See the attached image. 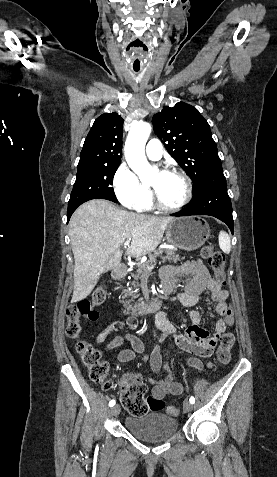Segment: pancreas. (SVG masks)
Returning a JSON list of instances; mask_svg holds the SVG:
<instances>
[{
  "label": "pancreas",
  "mask_w": 277,
  "mask_h": 477,
  "mask_svg": "<svg viewBox=\"0 0 277 477\" xmlns=\"http://www.w3.org/2000/svg\"><path fill=\"white\" fill-rule=\"evenodd\" d=\"M163 252H165V256L162 257V262H178L180 261L181 259L183 260V258H180L178 254L175 253V250L173 249H159L157 251H154V253L152 254H149V260L144 263V264H141L138 266V269L136 270V273L132 274V278H133V281L130 282V284L136 289L135 291H130L128 294H126L125 296H131V298H137L138 295H137V288L141 286V283L139 282V279L141 280L142 278L144 277H149L150 276V271L148 270V267H150V265L155 261L156 257L161 255ZM125 292H128L127 290H125ZM127 308L129 309H133V308H136L137 305H134V307H132L131 305L127 306Z\"/></svg>",
  "instance_id": "1"
}]
</instances>
